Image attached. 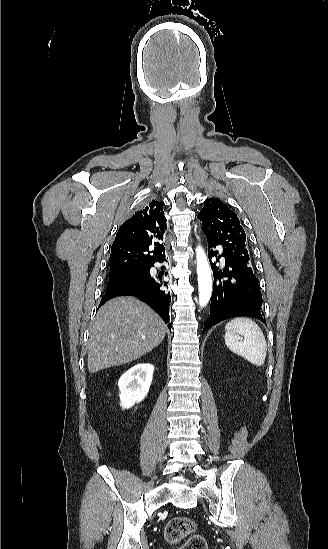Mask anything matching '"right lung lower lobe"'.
Returning <instances> with one entry per match:
<instances>
[{
	"label": "right lung lower lobe",
	"instance_id": "obj_1",
	"mask_svg": "<svg viewBox=\"0 0 328 549\" xmlns=\"http://www.w3.org/2000/svg\"><path fill=\"white\" fill-rule=\"evenodd\" d=\"M165 255L158 260L164 262ZM153 267V266H152ZM167 273H159V275H149L142 281L123 284L117 288L106 290L102 297L99 307L108 299L121 295H134L141 298L152 309H154L163 319L165 323L170 320L169 304L171 301L170 293L167 291V282L164 279ZM168 328L171 330V324L168 323Z\"/></svg>",
	"mask_w": 328,
	"mask_h": 549
}]
</instances>
